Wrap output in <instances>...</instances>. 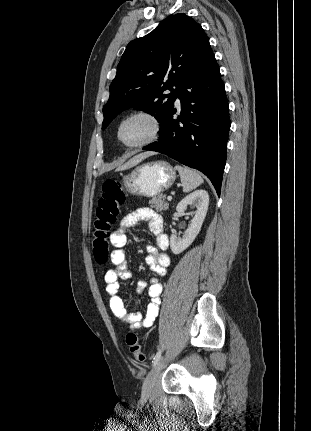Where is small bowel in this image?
Instances as JSON below:
<instances>
[{
	"instance_id": "1",
	"label": "small bowel",
	"mask_w": 311,
	"mask_h": 431,
	"mask_svg": "<svg viewBox=\"0 0 311 431\" xmlns=\"http://www.w3.org/2000/svg\"><path fill=\"white\" fill-rule=\"evenodd\" d=\"M139 222H147L150 232L155 237L156 246H147L146 263L151 270L158 276L163 277L167 273L170 264V257L166 250L169 246V238L163 230V219L161 215L151 208H140L123 217L118 229L111 236V244L114 250L111 254V261L114 268L108 270L104 275L106 292L108 296L109 307L112 313L119 319L130 324L134 329L148 328L158 316L159 306L161 303V293L163 287L157 278H151L148 283L141 281L137 286V291L142 293L148 284V294L150 303L147 305L144 313L138 312L136 308L130 305L119 296L120 280L131 278V272L128 268V262L124 247L127 244V233L129 229Z\"/></svg>"
}]
</instances>
